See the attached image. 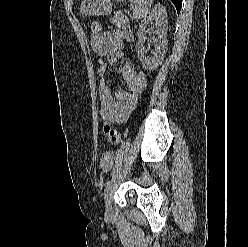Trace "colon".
<instances>
[{"instance_id":"obj_1","label":"colon","mask_w":248,"mask_h":247,"mask_svg":"<svg viewBox=\"0 0 248 247\" xmlns=\"http://www.w3.org/2000/svg\"><path fill=\"white\" fill-rule=\"evenodd\" d=\"M91 30L94 34H99L101 30V24L99 21H93L91 23ZM146 89V75L143 72H139L130 89V104L136 103Z\"/></svg>"}]
</instances>
